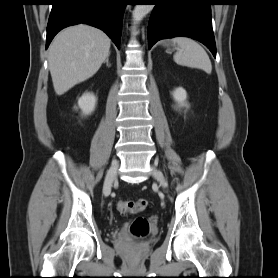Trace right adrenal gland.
<instances>
[{
    "mask_svg": "<svg viewBox=\"0 0 278 278\" xmlns=\"http://www.w3.org/2000/svg\"><path fill=\"white\" fill-rule=\"evenodd\" d=\"M104 63H106V65H107L108 67L111 66L110 63H109V56L106 58V60L104 61Z\"/></svg>",
    "mask_w": 278,
    "mask_h": 278,
    "instance_id": "obj_1",
    "label": "right adrenal gland"
}]
</instances>
